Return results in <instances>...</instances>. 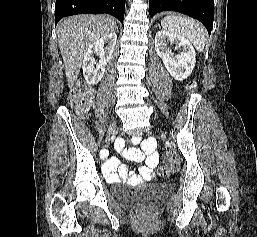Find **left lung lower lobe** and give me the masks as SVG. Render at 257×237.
<instances>
[{
  "label": "left lung lower lobe",
  "mask_w": 257,
  "mask_h": 237,
  "mask_svg": "<svg viewBox=\"0 0 257 237\" xmlns=\"http://www.w3.org/2000/svg\"><path fill=\"white\" fill-rule=\"evenodd\" d=\"M214 0H149V14L153 17L161 11H177L201 21L210 35L213 28Z\"/></svg>",
  "instance_id": "1"
}]
</instances>
